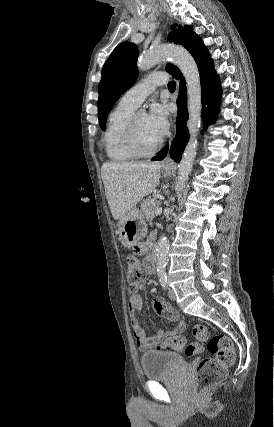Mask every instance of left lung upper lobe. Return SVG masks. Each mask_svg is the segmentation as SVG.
Segmentation results:
<instances>
[{
    "label": "left lung upper lobe",
    "instance_id": "left-lung-upper-lobe-1",
    "mask_svg": "<svg viewBox=\"0 0 274 427\" xmlns=\"http://www.w3.org/2000/svg\"><path fill=\"white\" fill-rule=\"evenodd\" d=\"M171 28L173 32L168 36V40L183 45L189 52L201 41L190 26L174 24ZM138 53L135 44L123 42L113 50L103 66L98 99L99 125L102 130H105L106 117L117 99L137 79ZM166 70L172 75L178 72L177 67L171 64L166 66Z\"/></svg>",
    "mask_w": 274,
    "mask_h": 427
}]
</instances>
